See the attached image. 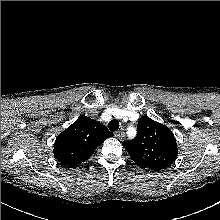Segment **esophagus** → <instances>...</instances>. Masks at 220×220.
Segmentation results:
<instances>
[{
    "mask_svg": "<svg viewBox=\"0 0 220 220\" xmlns=\"http://www.w3.org/2000/svg\"><path fill=\"white\" fill-rule=\"evenodd\" d=\"M114 136L117 137V138H119L120 140H122V139H124V137H125V133H124L123 130L116 131V132L114 133Z\"/></svg>",
    "mask_w": 220,
    "mask_h": 220,
    "instance_id": "esophagus-1",
    "label": "esophagus"
}]
</instances>
